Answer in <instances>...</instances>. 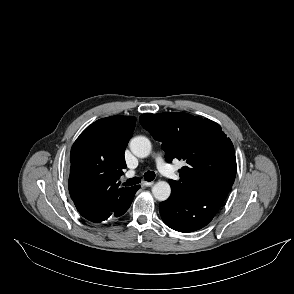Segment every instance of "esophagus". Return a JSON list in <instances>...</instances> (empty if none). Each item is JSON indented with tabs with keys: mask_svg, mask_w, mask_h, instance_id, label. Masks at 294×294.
Here are the masks:
<instances>
[{
	"mask_svg": "<svg viewBox=\"0 0 294 294\" xmlns=\"http://www.w3.org/2000/svg\"><path fill=\"white\" fill-rule=\"evenodd\" d=\"M153 184H154L153 181H143L141 185H142L143 187H150V186H152Z\"/></svg>",
	"mask_w": 294,
	"mask_h": 294,
	"instance_id": "1",
	"label": "esophagus"
}]
</instances>
